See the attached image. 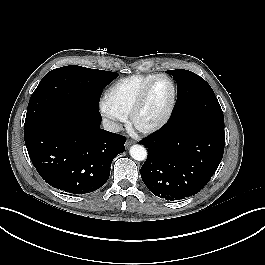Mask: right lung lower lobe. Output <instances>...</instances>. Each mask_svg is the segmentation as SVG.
Instances as JSON below:
<instances>
[{
    "label": "right lung lower lobe",
    "mask_w": 265,
    "mask_h": 265,
    "mask_svg": "<svg viewBox=\"0 0 265 265\" xmlns=\"http://www.w3.org/2000/svg\"><path fill=\"white\" fill-rule=\"evenodd\" d=\"M100 123L99 111L70 105L24 128L30 159L46 183L65 194L92 192L106 183L126 138Z\"/></svg>",
    "instance_id": "right-lung-lower-lobe-1"
}]
</instances>
